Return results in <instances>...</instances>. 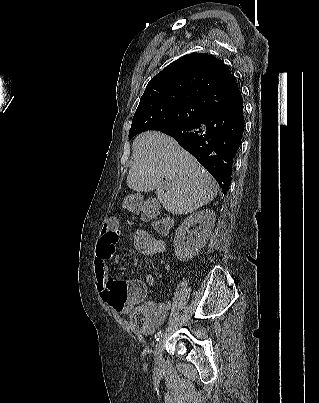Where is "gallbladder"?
I'll return each instance as SVG.
<instances>
[{
	"instance_id": "gallbladder-1",
	"label": "gallbladder",
	"mask_w": 319,
	"mask_h": 403,
	"mask_svg": "<svg viewBox=\"0 0 319 403\" xmlns=\"http://www.w3.org/2000/svg\"><path fill=\"white\" fill-rule=\"evenodd\" d=\"M152 201H154V200H148L146 203H144V205H143V210H144V211H146V212L149 211V209H150V204H149V202H152Z\"/></svg>"
}]
</instances>
